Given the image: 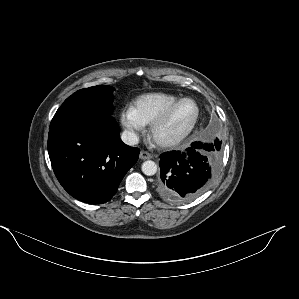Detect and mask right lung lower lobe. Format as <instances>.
Instances as JSON below:
<instances>
[{
    "instance_id": "obj_1",
    "label": "right lung lower lobe",
    "mask_w": 299,
    "mask_h": 299,
    "mask_svg": "<svg viewBox=\"0 0 299 299\" xmlns=\"http://www.w3.org/2000/svg\"><path fill=\"white\" fill-rule=\"evenodd\" d=\"M140 150L125 145L111 116H79L50 128L53 171L74 198L90 204L109 201Z\"/></svg>"
}]
</instances>
